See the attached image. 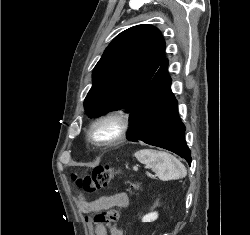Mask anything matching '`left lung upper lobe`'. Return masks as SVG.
Masks as SVG:
<instances>
[{"instance_id":"5c2ea615","label":"left lung upper lobe","mask_w":250,"mask_h":235,"mask_svg":"<svg viewBox=\"0 0 250 235\" xmlns=\"http://www.w3.org/2000/svg\"><path fill=\"white\" fill-rule=\"evenodd\" d=\"M164 52L165 41L154 26H133L116 36L93 70V85L84 101L89 117L115 109L131 112L167 61Z\"/></svg>"}]
</instances>
